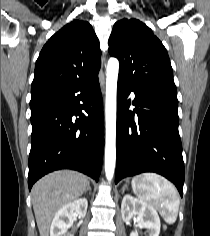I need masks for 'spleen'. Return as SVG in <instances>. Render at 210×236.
<instances>
[{
  "mask_svg": "<svg viewBox=\"0 0 210 236\" xmlns=\"http://www.w3.org/2000/svg\"><path fill=\"white\" fill-rule=\"evenodd\" d=\"M131 184L139 199L153 205L166 223L176 221L180 201L172 183L155 173H144L135 176Z\"/></svg>",
  "mask_w": 210,
  "mask_h": 236,
  "instance_id": "1",
  "label": "spleen"
}]
</instances>
